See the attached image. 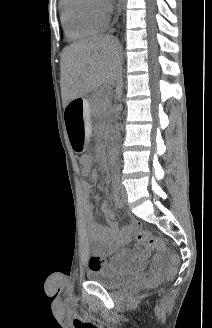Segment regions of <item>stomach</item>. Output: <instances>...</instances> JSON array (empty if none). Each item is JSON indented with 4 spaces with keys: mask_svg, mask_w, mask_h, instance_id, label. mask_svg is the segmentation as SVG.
<instances>
[{
    "mask_svg": "<svg viewBox=\"0 0 212 328\" xmlns=\"http://www.w3.org/2000/svg\"><path fill=\"white\" fill-rule=\"evenodd\" d=\"M82 99V98H80ZM75 101V100H73ZM67 102L64 110V127L70 145L77 151H82L87 148L88 135L87 129L89 127V110L87 103L84 100L81 102Z\"/></svg>",
    "mask_w": 212,
    "mask_h": 328,
    "instance_id": "1",
    "label": "stomach"
}]
</instances>
